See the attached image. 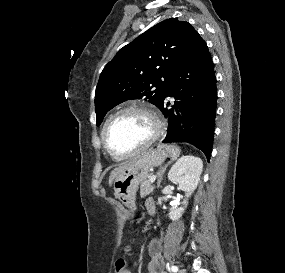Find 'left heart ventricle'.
Here are the masks:
<instances>
[{
	"mask_svg": "<svg viewBox=\"0 0 285 273\" xmlns=\"http://www.w3.org/2000/svg\"><path fill=\"white\" fill-rule=\"evenodd\" d=\"M153 132V123L147 115L126 112L112 122L107 132V140L114 150L126 153L145 143Z\"/></svg>",
	"mask_w": 285,
	"mask_h": 273,
	"instance_id": "1",
	"label": "left heart ventricle"
}]
</instances>
